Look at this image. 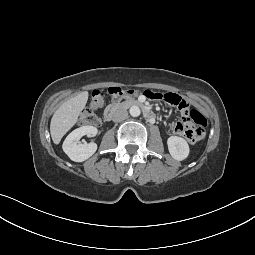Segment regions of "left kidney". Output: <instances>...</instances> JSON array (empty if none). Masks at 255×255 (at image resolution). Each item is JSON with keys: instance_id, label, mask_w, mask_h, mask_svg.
<instances>
[{"instance_id": "5707ae66", "label": "left kidney", "mask_w": 255, "mask_h": 255, "mask_svg": "<svg viewBox=\"0 0 255 255\" xmlns=\"http://www.w3.org/2000/svg\"><path fill=\"white\" fill-rule=\"evenodd\" d=\"M168 150L172 158L177 161L185 160L189 155L187 141L178 136H170L167 140Z\"/></svg>"}]
</instances>
